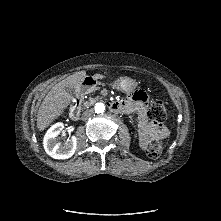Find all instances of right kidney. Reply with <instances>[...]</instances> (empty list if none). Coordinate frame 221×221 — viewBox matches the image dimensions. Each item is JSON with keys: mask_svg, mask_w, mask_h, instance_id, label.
I'll return each mask as SVG.
<instances>
[{"mask_svg": "<svg viewBox=\"0 0 221 221\" xmlns=\"http://www.w3.org/2000/svg\"><path fill=\"white\" fill-rule=\"evenodd\" d=\"M64 128L63 123L54 124L45 134L43 145L46 153L54 159H68L73 156L77 146V139L72 136L67 143L57 142V136Z\"/></svg>", "mask_w": 221, "mask_h": 221, "instance_id": "right-kidney-1", "label": "right kidney"}]
</instances>
